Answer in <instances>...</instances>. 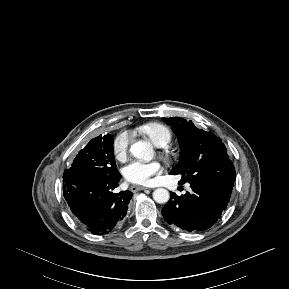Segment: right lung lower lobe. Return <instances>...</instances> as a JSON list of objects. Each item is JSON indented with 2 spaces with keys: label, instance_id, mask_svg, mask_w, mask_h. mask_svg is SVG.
Instances as JSON below:
<instances>
[{
  "label": "right lung lower lobe",
  "instance_id": "right-lung-lower-lobe-1",
  "mask_svg": "<svg viewBox=\"0 0 289 289\" xmlns=\"http://www.w3.org/2000/svg\"><path fill=\"white\" fill-rule=\"evenodd\" d=\"M120 179L118 170L104 177L64 172V198L75 220L92 234L109 233L126 216L133 193H113Z\"/></svg>",
  "mask_w": 289,
  "mask_h": 289
}]
</instances>
